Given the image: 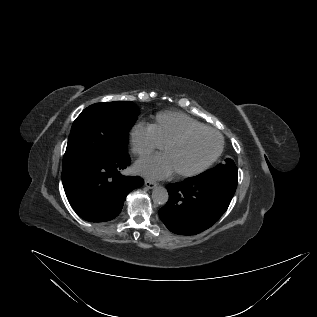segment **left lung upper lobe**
Masks as SVG:
<instances>
[{
  "instance_id": "5c2ea615",
  "label": "left lung upper lobe",
  "mask_w": 317,
  "mask_h": 317,
  "mask_svg": "<svg viewBox=\"0 0 317 317\" xmlns=\"http://www.w3.org/2000/svg\"><path fill=\"white\" fill-rule=\"evenodd\" d=\"M204 176L210 177H223L233 180H238V169L231 159H226L225 164H219L215 168H212L204 173Z\"/></svg>"
}]
</instances>
